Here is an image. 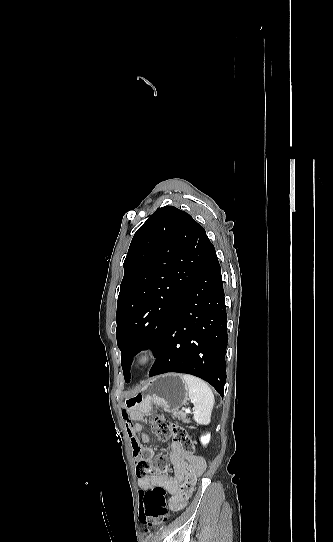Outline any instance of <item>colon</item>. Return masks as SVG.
<instances>
[{
	"label": "colon",
	"instance_id": "colon-1",
	"mask_svg": "<svg viewBox=\"0 0 333 542\" xmlns=\"http://www.w3.org/2000/svg\"><path fill=\"white\" fill-rule=\"evenodd\" d=\"M151 431L163 442L176 439L187 451L195 450L194 443L190 440L186 428H181L177 422H170L163 414H155L150 418ZM159 465L165 468L164 458H159ZM153 471V462L149 459L137 464L136 472L140 477L148 476ZM191 490L190 481L185 484L180 494L184 495ZM142 505L139 510V521L150 531L156 526L169 519L168 500L166 491L161 487L147 490L140 495Z\"/></svg>",
	"mask_w": 333,
	"mask_h": 542
}]
</instances>
